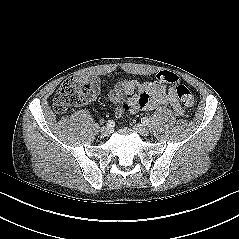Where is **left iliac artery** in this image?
<instances>
[{
  "mask_svg": "<svg viewBox=\"0 0 239 239\" xmlns=\"http://www.w3.org/2000/svg\"><path fill=\"white\" fill-rule=\"evenodd\" d=\"M141 123L143 125H148L149 124V119L147 117H143V118H141Z\"/></svg>",
  "mask_w": 239,
  "mask_h": 239,
  "instance_id": "left-iliac-artery-1",
  "label": "left iliac artery"
}]
</instances>
